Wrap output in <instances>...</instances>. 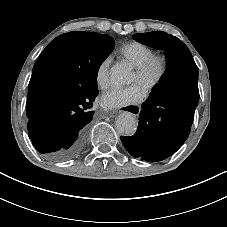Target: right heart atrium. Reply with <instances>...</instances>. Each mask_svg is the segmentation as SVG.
<instances>
[{"instance_id": "obj_1", "label": "right heart atrium", "mask_w": 227, "mask_h": 227, "mask_svg": "<svg viewBox=\"0 0 227 227\" xmlns=\"http://www.w3.org/2000/svg\"><path fill=\"white\" fill-rule=\"evenodd\" d=\"M111 58H104L97 66L95 71V81L99 88L104 89L109 84V67Z\"/></svg>"}]
</instances>
